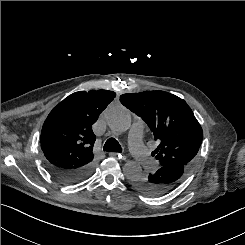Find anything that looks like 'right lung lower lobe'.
<instances>
[{
    "instance_id": "1",
    "label": "right lung lower lobe",
    "mask_w": 245,
    "mask_h": 245,
    "mask_svg": "<svg viewBox=\"0 0 245 245\" xmlns=\"http://www.w3.org/2000/svg\"><path fill=\"white\" fill-rule=\"evenodd\" d=\"M47 170L56 178L67 184L80 182L89 177L93 171V163L76 170H66L45 164Z\"/></svg>"
}]
</instances>
